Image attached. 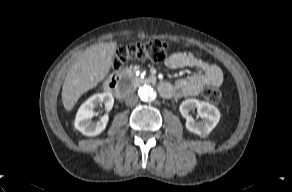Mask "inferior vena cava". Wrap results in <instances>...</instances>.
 I'll return each instance as SVG.
<instances>
[{
	"label": "inferior vena cava",
	"instance_id": "602c4592",
	"mask_svg": "<svg viewBox=\"0 0 292 192\" xmlns=\"http://www.w3.org/2000/svg\"><path fill=\"white\" fill-rule=\"evenodd\" d=\"M137 102H138V97L135 94L129 93L128 95H126V97H125L126 105L133 106Z\"/></svg>",
	"mask_w": 292,
	"mask_h": 192
}]
</instances>
